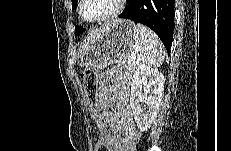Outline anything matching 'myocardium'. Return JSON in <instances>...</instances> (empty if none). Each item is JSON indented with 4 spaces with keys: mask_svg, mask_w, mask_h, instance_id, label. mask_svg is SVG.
Listing matches in <instances>:
<instances>
[{
    "mask_svg": "<svg viewBox=\"0 0 231 151\" xmlns=\"http://www.w3.org/2000/svg\"><path fill=\"white\" fill-rule=\"evenodd\" d=\"M85 2H86V0H81L79 2L78 12H79L80 18L82 20H84L85 22H88V23H101V22H104L106 20H109V19H112V18L118 16L121 13V11L123 10L124 4L126 3V0H117L115 8L112 11H110L109 13H107L105 15H102V16L96 17V18H92V19L86 18L84 16L83 9H84Z\"/></svg>",
    "mask_w": 231,
    "mask_h": 151,
    "instance_id": "f54148a6",
    "label": "myocardium"
}]
</instances>
